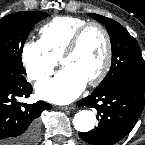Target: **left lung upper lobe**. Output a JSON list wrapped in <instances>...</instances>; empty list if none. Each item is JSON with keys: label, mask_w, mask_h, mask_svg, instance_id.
<instances>
[{"label": "left lung upper lobe", "mask_w": 145, "mask_h": 145, "mask_svg": "<svg viewBox=\"0 0 145 145\" xmlns=\"http://www.w3.org/2000/svg\"><path fill=\"white\" fill-rule=\"evenodd\" d=\"M89 16L106 26L112 46L110 71L94 91H100L122 80L145 84V67L135 38L123 26L110 18L98 14H89Z\"/></svg>", "instance_id": "obj_1"}]
</instances>
